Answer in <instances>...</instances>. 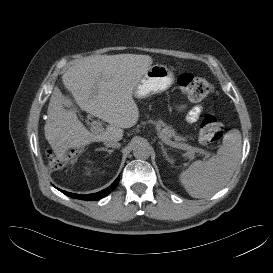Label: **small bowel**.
I'll return each mask as SVG.
<instances>
[{"label": "small bowel", "instance_id": "obj_1", "mask_svg": "<svg viewBox=\"0 0 273 273\" xmlns=\"http://www.w3.org/2000/svg\"><path fill=\"white\" fill-rule=\"evenodd\" d=\"M201 112H202V108L201 107L198 106V107L193 108L188 113V119L192 120V121L196 120L199 117V115H200Z\"/></svg>", "mask_w": 273, "mask_h": 273}]
</instances>
